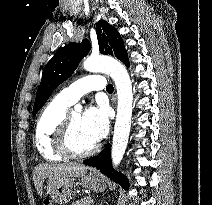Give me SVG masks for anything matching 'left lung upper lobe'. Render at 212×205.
Segmentation results:
<instances>
[{
    "instance_id": "obj_1",
    "label": "left lung upper lobe",
    "mask_w": 212,
    "mask_h": 205,
    "mask_svg": "<svg viewBox=\"0 0 212 205\" xmlns=\"http://www.w3.org/2000/svg\"><path fill=\"white\" fill-rule=\"evenodd\" d=\"M99 50L102 54L115 55L123 63L128 59L127 51L118 31L104 20L96 25ZM91 46L87 39L81 43H69L61 48L46 64L37 90L33 115L46 103L52 92L67 80L86 56Z\"/></svg>"
}]
</instances>
